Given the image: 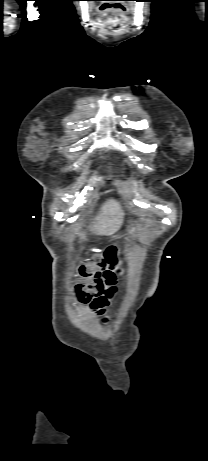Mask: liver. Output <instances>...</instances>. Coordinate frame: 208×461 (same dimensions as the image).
Instances as JSON below:
<instances>
[{
	"mask_svg": "<svg viewBox=\"0 0 208 461\" xmlns=\"http://www.w3.org/2000/svg\"><path fill=\"white\" fill-rule=\"evenodd\" d=\"M123 215L119 203L115 200H108L102 206L100 215L96 217L92 230L97 235H112L121 227Z\"/></svg>",
	"mask_w": 208,
	"mask_h": 461,
	"instance_id": "6515ba94",
	"label": "liver"
}]
</instances>
